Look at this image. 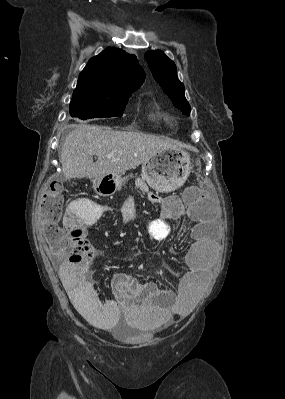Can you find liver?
Instances as JSON below:
<instances>
[{
    "mask_svg": "<svg viewBox=\"0 0 285 399\" xmlns=\"http://www.w3.org/2000/svg\"><path fill=\"white\" fill-rule=\"evenodd\" d=\"M175 148L173 141L155 135L79 124L66 136L59 158L66 179L93 181L106 175L121 176L156 153Z\"/></svg>",
    "mask_w": 285,
    "mask_h": 399,
    "instance_id": "liver-1",
    "label": "liver"
}]
</instances>
